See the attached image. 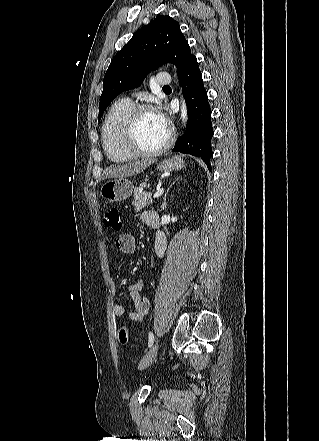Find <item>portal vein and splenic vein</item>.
<instances>
[{
  "label": "portal vein and splenic vein",
  "instance_id": "18ae733b",
  "mask_svg": "<svg viewBox=\"0 0 319 441\" xmlns=\"http://www.w3.org/2000/svg\"><path fill=\"white\" fill-rule=\"evenodd\" d=\"M164 193V188H159L156 193L153 195V198H158Z\"/></svg>",
  "mask_w": 319,
  "mask_h": 441
}]
</instances>
